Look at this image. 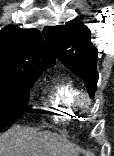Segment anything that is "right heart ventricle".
<instances>
[{"label": "right heart ventricle", "instance_id": "right-heart-ventricle-1", "mask_svg": "<svg viewBox=\"0 0 114 156\" xmlns=\"http://www.w3.org/2000/svg\"><path fill=\"white\" fill-rule=\"evenodd\" d=\"M79 87L70 79L59 77L48 88L47 108L58 122H68L76 115L75 100Z\"/></svg>", "mask_w": 114, "mask_h": 156}]
</instances>
